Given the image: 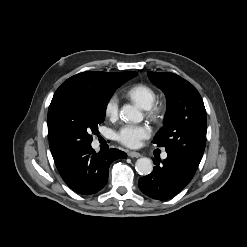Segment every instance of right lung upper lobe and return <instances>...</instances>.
Here are the masks:
<instances>
[{"mask_svg": "<svg viewBox=\"0 0 247 247\" xmlns=\"http://www.w3.org/2000/svg\"><path fill=\"white\" fill-rule=\"evenodd\" d=\"M134 72H118L107 73L101 71H86L79 73L67 79L59 88L75 87V88H89L98 91H108L117 89L120 84ZM49 134V146L54 161L59 160L71 150L63 147L55 140L52 134Z\"/></svg>", "mask_w": 247, "mask_h": 247, "instance_id": "right-lung-upper-lobe-1", "label": "right lung upper lobe"}]
</instances>
